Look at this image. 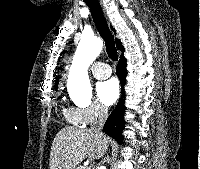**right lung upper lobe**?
<instances>
[{
	"instance_id": "cb5924a9",
	"label": "right lung upper lobe",
	"mask_w": 200,
	"mask_h": 169,
	"mask_svg": "<svg viewBox=\"0 0 200 169\" xmlns=\"http://www.w3.org/2000/svg\"><path fill=\"white\" fill-rule=\"evenodd\" d=\"M116 46L118 50H121L122 52L125 50L123 45L121 44L120 40H116ZM121 57H123V55H121ZM56 88L58 85V78L56 77V82H55Z\"/></svg>"
}]
</instances>
